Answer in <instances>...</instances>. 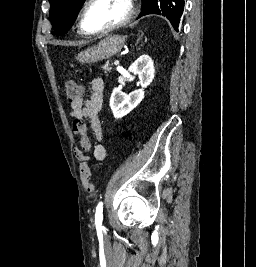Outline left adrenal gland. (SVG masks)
<instances>
[{
    "label": "left adrenal gland",
    "mask_w": 256,
    "mask_h": 267,
    "mask_svg": "<svg viewBox=\"0 0 256 267\" xmlns=\"http://www.w3.org/2000/svg\"><path fill=\"white\" fill-rule=\"evenodd\" d=\"M139 40H140V36H139V38H138V40H137V44H138Z\"/></svg>",
    "instance_id": "left-adrenal-gland-1"
}]
</instances>
